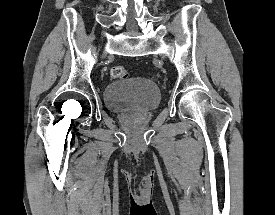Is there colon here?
Segmentation results:
<instances>
[{
    "mask_svg": "<svg viewBox=\"0 0 275 215\" xmlns=\"http://www.w3.org/2000/svg\"><path fill=\"white\" fill-rule=\"evenodd\" d=\"M110 75L114 79H124L127 77V71L123 66L116 65L110 69Z\"/></svg>",
    "mask_w": 275,
    "mask_h": 215,
    "instance_id": "5ec220e1",
    "label": "colon"
}]
</instances>
